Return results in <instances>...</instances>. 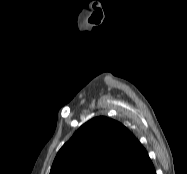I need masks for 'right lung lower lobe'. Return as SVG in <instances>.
<instances>
[{"mask_svg":"<svg viewBox=\"0 0 187 174\" xmlns=\"http://www.w3.org/2000/svg\"><path fill=\"white\" fill-rule=\"evenodd\" d=\"M151 174H156V172H152Z\"/></svg>","mask_w":187,"mask_h":174,"instance_id":"98d812e1","label":"right lung lower lobe"}]
</instances>
